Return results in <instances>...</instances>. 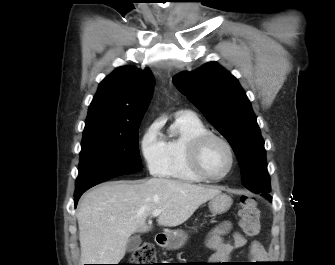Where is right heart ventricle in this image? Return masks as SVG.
Segmentation results:
<instances>
[{
	"instance_id": "right-heart-ventricle-1",
	"label": "right heart ventricle",
	"mask_w": 335,
	"mask_h": 265,
	"mask_svg": "<svg viewBox=\"0 0 335 265\" xmlns=\"http://www.w3.org/2000/svg\"><path fill=\"white\" fill-rule=\"evenodd\" d=\"M172 127L177 133L164 140L166 168L162 176L187 183L202 182L189 164L188 152L194 138L209 132L207 127L197 117L188 116H176Z\"/></svg>"
}]
</instances>
